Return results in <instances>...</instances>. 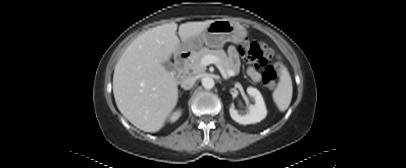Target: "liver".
Segmentation results:
<instances>
[{"instance_id":"liver-1","label":"liver","mask_w":406,"mask_h":168,"mask_svg":"<svg viewBox=\"0 0 406 168\" xmlns=\"http://www.w3.org/2000/svg\"><path fill=\"white\" fill-rule=\"evenodd\" d=\"M213 21L181 24V41L200 35ZM177 28L172 22L147 30L127 47L115 66L116 105L129 122L145 132L159 131L178 101L177 80L163 66L180 48Z\"/></svg>"}]
</instances>
